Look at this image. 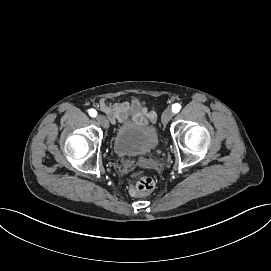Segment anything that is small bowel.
Wrapping results in <instances>:
<instances>
[{
	"instance_id": "obj_1",
	"label": "small bowel",
	"mask_w": 271,
	"mask_h": 271,
	"mask_svg": "<svg viewBox=\"0 0 271 271\" xmlns=\"http://www.w3.org/2000/svg\"><path fill=\"white\" fill-rule=\"evenodd\" d=\"M99 107L112 123H125L130 117L143 124L152 123L156 119V114L147 108L145 102L123 101L111 103L102 99ZM132 111L137 112L132 114Z\"/></svg>"
}]
</instances>
